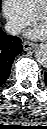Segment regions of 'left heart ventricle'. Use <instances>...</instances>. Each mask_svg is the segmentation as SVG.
I'll list each match as a JSON object with an SVG mask.
<instances>
[{"label": "left heart ventricle", "mask_w": 47, "mask_h": 129, "mask_svg": "<svg viewBox=\"0 0 47 129\" xmlns=\"http://www.w3.org/2000/svg\"><path fill=\"white\" fill-rule=\"evenodd\" d=\"M38 21H39L40 24H42L44 26L46 25V17L44 15L41 16Z\"/></svg>", "instance_id": "1"}]
</instances>
